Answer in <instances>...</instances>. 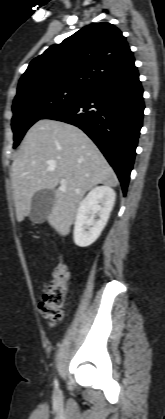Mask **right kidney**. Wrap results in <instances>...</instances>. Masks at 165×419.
Wrapping results in <instances>:
<instances>
[{"label": "right kidney", "mask_w": 165, "mask_h": 419, "mask_svg": "<svg viewBox=\"0 0 165 419\" xmlns=\"http://www.w3.org/2000/svg\"><path fill=\"white\" fill-rule=\"evenodd\" d=\"M115 198V191L111 187L97 186L82 200L77 210L73 232L77 246L87 247L98 239L107 224ZM96 215L98 220H95Z\"/></svg>", "instance_id": "obj_1"}]
</instances>
